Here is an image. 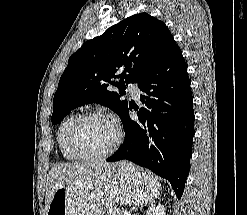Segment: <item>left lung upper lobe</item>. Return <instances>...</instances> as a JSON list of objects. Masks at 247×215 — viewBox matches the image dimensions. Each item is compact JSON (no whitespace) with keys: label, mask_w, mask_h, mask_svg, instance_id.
<instances>
[{"label":"left lung upper lobe","mask_w":247,"mask_h":215,"mask_svg":"<svg viewBox=\"0 0 247 215\" xmlns=\"http://www.w3.org/2000/svg\"><path fill=\"white\" fill-rule=\"evenodd\" d=\"M173 38L164 22L140 13L108 28L85 42L68 61L53 99V124L71 110L99 103L123 117L128 102L121 101L125 83H137L154 65ZM120 78L119 83L111 81ZM117 86L119 93L109 91Z\"/></svg>","instance_id":"5c2ea615"}]
</instances>
